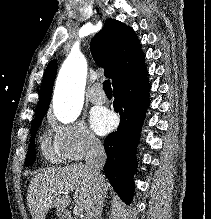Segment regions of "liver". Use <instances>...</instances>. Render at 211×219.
Returning a JSON list of instances; mask_svg holds the SVG:
<instances>
[{
    "label": "liver",
    "instance_id": "liver-1",
    "mask_svg": "<svg viewBox=\"0 0 211 219\" xmlns=\"http://www.w3.org/2000/svg\"><path fill=\"white\" fill-rule=\"evenodd\" d=\"M109 183L104 179L105 193ZM74 193L75 205L87 211L95 192L94 182L86 165L76 164L50 168L32 178L27 193V204L33 219H45L50 208L64 210Z\"/></svg>",
    "mask_w": 211,
    "mask_h": 219
}]
</instances>
